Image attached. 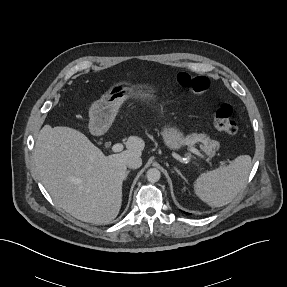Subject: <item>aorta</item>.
Listing matches in <instances>:
<instances>
[{"instance_id":"1","label":"aorta","mask_w":287,"mask_h":287,"mask_svg":"<svg viewBox=\"0 0 287 287\" xmlns=\"http://www.w3.org/2000/svg\"><path fill=\"white\" fill-rule=\"evenodd\" d=\"M146 176H147L148 181L154 183V182H157L160 179L161 173L156 168H150L147 171Z\"/></svg>"}]
</instances>
